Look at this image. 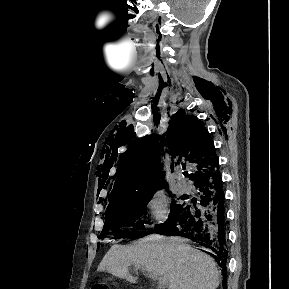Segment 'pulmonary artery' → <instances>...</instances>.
<instances>
[{"label": "pulmonary artery", "instance_id": "pulmonary-artery-1", "mask_svg": "<svg viewBox=\"0 0 289 289\" xmlns=\"http://www.w3.org/2000/svg\"><path fill=\"white\" fill-rule=\"evenodd\" d=\"M177 179H178L177 180V187L181 192H187L190 190V187H189L187 182L181 180L179 176L177 177Z\"/></svg>", "mask_w": 289, "mask_h": 289}]
</instances>
